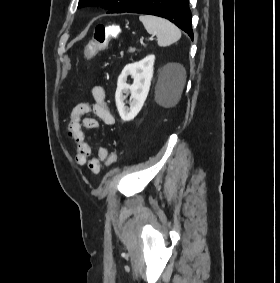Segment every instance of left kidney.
I'll return each instance as SVG.
<instances>
[{"label":"left kidney","mask_w":280,"mask_h":283,"mask_svg":"<svg viewBox=\"0 0 280 283\" xmlns=\"http://www.w3.org/2000/svg\"><path fill=\"white\" fill-rule=\"evenodd\" d=\"M154 61L155 56L148 55L139 62L126 65L119 75L115 101L119 115L123 121L133 120L142 109L149 93L154 71ZM129 75L133 78L132 85L126 83ZM123 93H131L130 107L125 106L124 101L126 96Z\"/></svg>","instance_id":"obj_1"}]
</instances>
